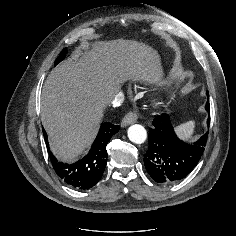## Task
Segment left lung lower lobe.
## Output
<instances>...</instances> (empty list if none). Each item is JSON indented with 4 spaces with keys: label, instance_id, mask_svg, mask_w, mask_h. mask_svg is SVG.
<instances>
[{
    "label": "left lung lower lobe",
    "instance_id": "obj_1",
    "mask_svg": "<svg viewBox=\"0 0 236 236\" xmlns=\"http://www.w3.org/2000/svg\"><path fill=\"white\" fill-rule=\"evenodd\" d=\"M209 123L210 118L207 120ZM152 124L148 137L149 148L144 157L146 170L158 183H175L188 175L200 160L208 132L189 144L176 136L167 114L156 117Z\"/></svg>",
    "mask_w": 236,
    "mask_h": 236
}]
</instances>
